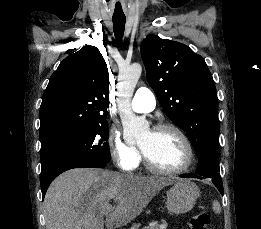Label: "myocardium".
<instances>
[{
	"label": "myocardium",
	"mask_w": 261,
	"mask_h": 229,
	"mask_svg": "<svg viewBox=\"0 0 261 229\" xmlns=\"http://www.w3.org/2000/svg\"><path fill=\"white\" fill-rule=\"evenodd\" d=\"M164 130L174 132L181 140L184 150H185V160H184L183 164L179 168L172 169V170L157 167L147 158V156L144 154L143 150L140 148V152H141V156L143 158L144 164L149 171H151L155 174L165 175V176H174V175L182 174L185 171H187L192 164L193 156H194L192 145H191L188 137L186 136V134L179 127H177L173 124H169V123L159 124V125L155 126L151 130V132H160V131H164Z\"/></svg>",
	"instance_id": "myocardium-1"
}]
</instances>
